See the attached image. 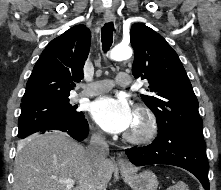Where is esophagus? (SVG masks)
Listing matches in <instances>:
<instances>
[{"label": "esophagus", "mask_w": 221, "mask_h": 190, "mask_svg": "<svg viewBox=\"0 0 221 190\" xmlns=\"http://www.w3.org/2000/svg\"><path fill=\"white\" fill-rule=\"evenodd\" d=\"M104 19L106 22H115V15L112 10L107 9L104 13ZM118 165L122 170H128L130 168V165L128 161L124 158H118Z\"/></svg>", "instance_id": "esophagus-1"}]
</instances>
